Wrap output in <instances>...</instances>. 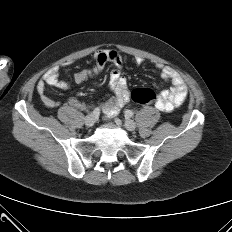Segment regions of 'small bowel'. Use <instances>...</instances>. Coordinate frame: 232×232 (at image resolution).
<instances>
[{"label": "small bowel", "mask_w": 232, "mask_h": 232, "mask_svg": "<svg viewBox=\"0 0 232 232\" xmlns=\"http://www.w3.org/2000/svg\"><path fill=\"white\" fill-rule=\"evenodd\" d=\"M108 63L115 66V69L111 71L109 76V86L113 91V96L96 106L86 104L76 98H71L69 99V105L71 107L82 111L96 107L101 109L106 117H112L129 102L130 92L128 89V81L122 71L123 60L119 53L114 50L97 51L93 57V66L89 69L76 72L74 74V82L80 84L87 81L92 76L100 73ZM135 63L141 65L143 60L141 58H136ZM156 69L164 79L172 83V87L169 90H165L159 95L156 108L160 111L171 112L180 107L185 101L188 93L187 86L180 74L174 69L162 64H157ZM47 85L62 90L69 88L68 83L59 79V67L50 68L37 84V91L44 105L49 108H54L58 103L46 94Z\"/></svg>", "instance_id": "c3829d8e"}]
</instances>
